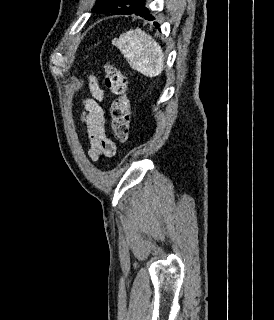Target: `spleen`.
<instances>
[{"instance_id": "obj_1", "label": "spleen", "mask_w": 274, "mask_h": 320, "mask_svg": "<svg viewBox=\"0 0 274 320\" xmlns=\"http://www.w3.org/2000/svg\"><path fill=\"white\" fill-rule=\"evenodd\" d=\"M113 46L120 50L132 70H137L146 78H156L162 74L163 50L152 36H148L140 28L121 34L118 40H114Z\"/></svg>"}]
</instances>
